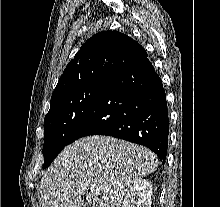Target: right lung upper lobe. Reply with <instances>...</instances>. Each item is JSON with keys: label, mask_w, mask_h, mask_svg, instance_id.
<instances>
[{"label": "right lung upper lobe", "mask_w": 220, "mask_h": 207, "mask_svg": "<svg viewBox=\"0 0 220 207\" xmlns=\"http://www.w3.org/2000/svg\"><path fill=\"white\" fill-rule=\"evenodd\" d=\"M146 56L145 49L128 35L117 31L99 32L88 39L68 63L51 99L81 86L108 80Z\"/></svg>", "instance_id": "obj_1"}]
</instances>
